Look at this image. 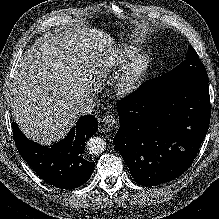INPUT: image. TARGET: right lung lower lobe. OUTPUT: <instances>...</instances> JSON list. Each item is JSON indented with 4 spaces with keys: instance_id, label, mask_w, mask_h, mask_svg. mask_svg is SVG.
Listing matches in <instances>:
<instances>
[{
    "instance_id": "right-lung-lower-lobe-1",
    "label": "right lung lower lobe",
    "mask_w": 219,
    "mask_h": 219,
    "mask_svg": "<svg viewBox=\"0 0 219 219\" xmlns=\"http://www.w3.org/2000/svg\"><path fill=\"white\" fill-rule=\"evenodd\" d=\"M12 128L19 154L45 182L63 189H74L90 178L95 163L86 160L83 153L85 142L98 130L93 115L80 117L68 135L50 147L29 140L15 122Z\"/></svg>"
}]
</instances>
